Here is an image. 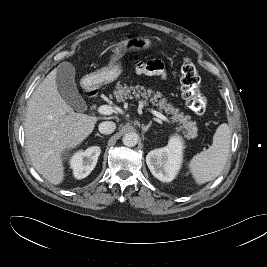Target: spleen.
I'll return each mask as SVG.
<instances>
[{
    "label": "spleen",
    "mask_w": 267,
    "mask_h": 267,
    "mask_svg": "<svg viewBox=\"0 0 267 267\" xmlns=\"http://www.w3.org/2000/svg\"><path fill=\"white\" fill-rule=\"evenodd\" d=\"M231 133L229 126L222 123L213 136L212 145L190 160L189 170L199 185L215 179L223 170L230 151Z\"/></svg>",
    "instance_id": "obj_1"
}]
</instances>
